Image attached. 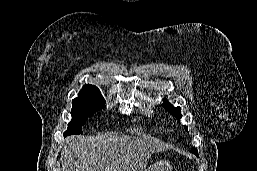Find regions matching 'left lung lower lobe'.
<instances>
[{"mask_svg": "<svg viewBox=\"0 0 257 171\" xmlns=\"http://www.w3.org/2000/svg\"><path fill=\"white\" fill-rule=\"evenodd\" d=\"M192 152V151H191ZM193 154H195L194 152H192ZM195 155H197L198 156V154H195Z\"/></svg>", "mask_w": 257, "mask_h": 171, "instance_id": "0a47b994", "label": "left lung lower lobe"}]
</instances>
